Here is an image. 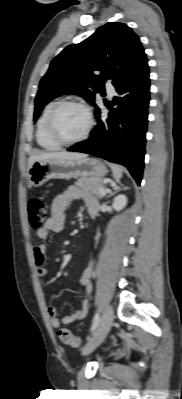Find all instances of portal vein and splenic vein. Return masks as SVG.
Instances as JSON below:
<instances>
[{"mask_svg":"<svg viewBox=\"0 0 182 399\" xmlns=\"http://www.w3.org/2000/svg\"><path fill=\"white\" fill-rule=\"evenodd\" d=\"M107 181H104V183H106ZM100 193L102 194V195H105L106 193H107V189H100Z\"/></svg>","mask_w":182,"mask_h":399,"instance_id":"18ae733b","label":"portal vein and splenic vein"}]
</instances>
